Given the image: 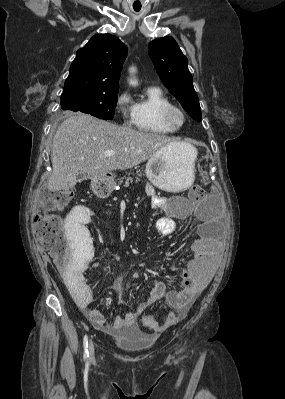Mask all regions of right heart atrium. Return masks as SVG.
Segmentation results:
<instances>
[{
  "instance_id": "d8ad5b80",
  "label": "right heart atrium",
  "mask_w": 285,
  "mask_h": 399,
  "mask_svg": "<svg viewBox=\"0 0 285 399\" xmlns=\"http://www.w3.org/2000/svg\"><path fill=\"white\" fill-rule=\"evenodd\" d=\"M115 108L125 125L134 123L133 101L128 92L125 91L118 95L115 101Z\"/></svg>"
}]
</instances>
